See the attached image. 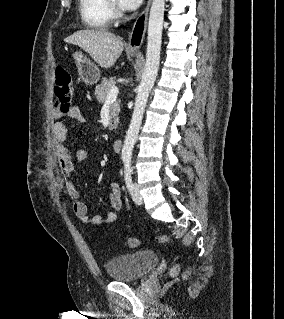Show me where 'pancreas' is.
Returning a JSON list of instances; mask_svg holds the SVG:
<instances>
[{"label": "pancreas", "mask_w": 284, "mask_h": 319, "mask_svg": "<svg viewBox=\"0 0 284 319\" xmlns=\"http://www.w3.org/2000/svg\"><path fill=\"white\" fill-rule=\"evenodd\" d=\"M116 84L114 78L106 79L104 78L101 81V84L96 86L95 96L99 103L104 104L107 99V95L110 92L111 88ZM120 111V101H115L110 104V125L109 130H113L117 128L119 123L118 114Z\"/></svg>", "instance_id": "obj_1"}]
</instances>
